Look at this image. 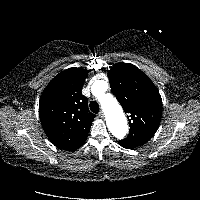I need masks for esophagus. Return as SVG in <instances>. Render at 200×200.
<instances>
[{"instance_id": "obj_1", "label": "esophagus", "mask_w": 200, "mask_h": 200, "mask_svg": "<svg viewBox=\"0 0 200 200\" xmlns=\"http://www.w3.org/2000/svg\"><path fill=\"white\" fill-rule=\"evenodd\" d=\"M98 115H99L100 118H104V113H103V111H100Z\"/></svg>"}]
</instances>
